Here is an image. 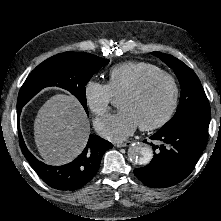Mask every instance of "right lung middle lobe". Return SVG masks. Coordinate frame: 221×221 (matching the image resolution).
I'll return each mask as SVG.
<instances>
[{
  "label": "right lung middle lobe",
  "instance_id": "right-lung-middle-lobe-1",
  "mask_svg": "<svg viewBox=\"0 0 221 221\" xmlns=\"http://www.w3.org/2000/svg\"><path fill=\"white\" fill-rule=\"evenodd\" d=\"M108 62V59L92 54L71 51L45 60L31 72L22 85L17 109H22L41 89L57 86L76 96L88 113L85 85L93 74Z\"/></svg>",
  "mask_w": 221,
  "mask_h": 221
}]
</instances>
